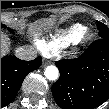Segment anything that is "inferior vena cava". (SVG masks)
Here are the masks:
<instances>
[{
	"instance_id": "obj_1",
	"label": "inferior vena cava",
	"mask_w": 109,
	"mask_h": 109,
	"mask_svg": "<svg viewBox=\"0 0 109 109\" xmlns=\"http://www.w3.org/2000/svg\"><path fill=\"white\" fill-rule=\"evenodd\" d=\"M16 57L21 60H33L37 57V52L32 46H22L16 49Z\"/></svg>"
}]
</instances>
